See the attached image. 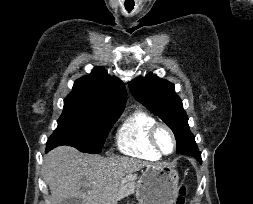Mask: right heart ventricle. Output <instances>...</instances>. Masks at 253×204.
I'll return each mask as SVG.
<instances>
[{
  "label": "right heart ventricle",
  "mask_w": 253,
  "mask_h": 204,
  "mask_svg": "<svg viewBox=\"0 0 253 204\" xmlns=\"http://www.w3.org/2000/svg\"><path fill=\"white\" fill-rule=\"evenodd\" d=\"M156 120L142 110L134 111L121 124L117 146L123 153L137 158L157 161L161 158L149 141V131Z\"/></svg>",
  "instance_id": "e07e8e85"
}]
</instances>
